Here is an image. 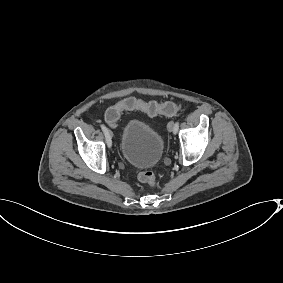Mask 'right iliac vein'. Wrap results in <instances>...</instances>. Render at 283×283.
<instances>
[{
    "mask_svg": "<svg viewBox=\"0 0 283 283\" xmlns=\"http://www.w3.org/2000/svg\"><path fill=\"white\" fill-rule=\"evenodd\" d=\"M109 136L112 137V132L108 130Z\"/></svg>",
    "mask_w": 283,
    "mask_h": 283,
    "instance_id": "obj_1",
    "label": "right iliac vein"
}]
</instances>
